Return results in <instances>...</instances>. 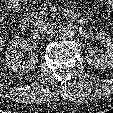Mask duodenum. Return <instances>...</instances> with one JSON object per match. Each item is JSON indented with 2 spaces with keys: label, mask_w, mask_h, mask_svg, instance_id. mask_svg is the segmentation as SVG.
<instances>
[{
  "label": "duodenum",
  "mask_w": 113,
  "mask_h": 113,
  "mask_svg": "<svg viewBox=\"0 0 113 113\" xmlns=\"http://www.w3.org/2000/svg\"><path fill=\"white\" fill-rule=\"evenodd\" d=\"M12 4H14V2H12ZM64 16L67 19L74 20L78 23H84V18L81 15H78L77 13H75L73 10L66 9L64 11ZM30 24H31L30 17L29 16H23L20 20L19 27H20L21 30H28L29 27H30Z\"/></svg>",
  "instance_id": "duodenum-1"
}]
</instances>
